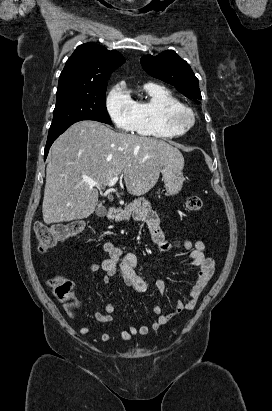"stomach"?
Wrapping results in <instances>:
<instances>
[{"label":"stomach","mask_w":272,"mask_h":411,"mask_svg":"<svg viewBox=\"0 0 272 411\" xmlns=\"http://www.w3.org/2000/svg\"><path fill=\"white\" fill-rule=\"evenodd\" d=\"M160 172L162 174L167 195L173 196L178 194L181 191L185 180L182 168L175 163L169 162L161 167Z\"/></svg>","instance_id":"stomach-1"}]
</instances>
